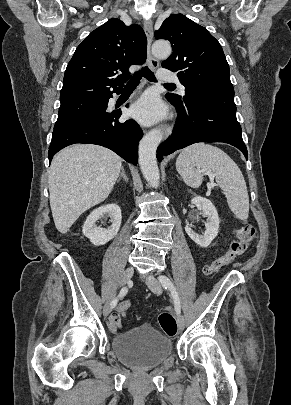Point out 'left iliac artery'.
Listing matches in <instances>:
<instances>
[{
	"label": "left iliac artery",
	"mask_w": 291,
	"mask_h": 405,
	"mask_svg": "<svg viewBox=\"0 0 291 405\" xmlns=\"http://www.w3.org/2000/svg\"><path fill=\"white\" fill-rule=\"evenodd\" d=\"M158 279L161 282L162 286L165 289L170 291V293L173 297V300H174L176 313L180 314V311H181L180 300H179L178 293H177L173 283L171 282V280L168 277H166L164 275L159 276Z\"/></svg>",
	"instance_id": "obj_1"
}]
</instances>
